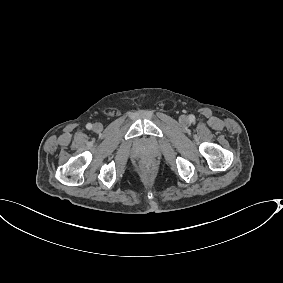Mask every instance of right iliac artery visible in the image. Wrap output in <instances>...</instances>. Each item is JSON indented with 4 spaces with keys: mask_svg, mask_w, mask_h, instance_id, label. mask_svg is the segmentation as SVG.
Here are the masks:
<instances>
[{
    "mask_svg": "<svg viewBox=\"0 0 283 283\" xmlns=\"http://www.w3.org/2000/svg\"><path fill=\"white\" fill-rule=\"evenodd\" d=\"M86 128H87L88 130L92 129V124H91V123H88V124L86 125Z\"/></svg>",
    "mask_w": 283,
    "mask_h": 283,
    "instance_id": "82829eb1",
    "label": "right iliac artery"
}]
</instances>
